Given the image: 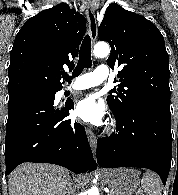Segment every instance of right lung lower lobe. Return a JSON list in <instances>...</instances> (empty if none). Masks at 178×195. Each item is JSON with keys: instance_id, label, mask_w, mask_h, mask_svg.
Returning <instances> with one entry per match:
<instances>
[{"instance_id": "obj_1", "label": "right lung lower lobe", "mask_w": 178, "mask_h": 195, "mask_svg": "<svg viewBox=\"0 0 178 195\" xmlns=\"http://www.w3.org/2000/svg\"><path fill=\"white\" fill-rule=\"evenodd\" d=\"M57 91L45 98L27 95L9 98L6 175L23 162L57 164L75 173L96 168L84 127L67 118L74 103L55 107Z\"/></svg>"}]
</instances>
